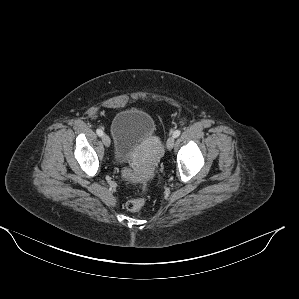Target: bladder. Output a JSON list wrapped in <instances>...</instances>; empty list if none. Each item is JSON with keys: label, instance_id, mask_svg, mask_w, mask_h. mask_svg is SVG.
Masks as SVG:
<instances>
[{"label": "bladder", "instance_id": "31cf9c89", "mask_svg": "<svg viewBox=\"0 0 299 299\" xmlns=\"http://www.w3.org/2000/svg\"><path fill=\"white\" fill-rule=\"evenodd\" d=\"M155 127L152 116L140 109H127L118 113L111 124L117 163L127 162L139 144L153 137Z\"/></svg>", "mask_w": 299, "mask_h": 299}]
</instances>
